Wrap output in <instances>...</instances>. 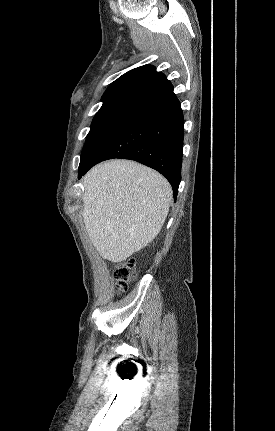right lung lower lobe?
<instances>
[{"instance_id":"right-lung-lower-lobe-1","label":"right lung lower lobe","mask_w":275,"mask_h":431,"mask_svg":"<svg viewBox=\"0 0 275 431\" xmlns=\"http://www.w3.org/2000/svg\"><path fill=\"white\" fill-rule=\"evenodd\" d=\"M183 136V112L171 91L138 109L91 162L79 169L78 178L104 160H135L160 172L170 182L176 200L181 180Z\"/></svg>"}]
</instances>
